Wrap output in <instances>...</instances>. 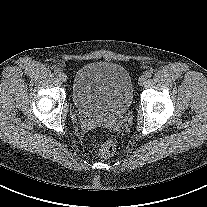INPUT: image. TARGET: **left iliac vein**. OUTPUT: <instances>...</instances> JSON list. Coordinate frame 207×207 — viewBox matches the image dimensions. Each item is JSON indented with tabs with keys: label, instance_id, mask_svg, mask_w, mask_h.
<instances>
[{
	"label": "left iliac vein",
	"instance_id": "left-iliac-vein-1",
	"mask_svg": "<svg viewBox=\"0 0 207 207\" xmlns=\"http://www.w3.org/2000/svg\"><path fill=\"white\" fill-rule=\"evenodd\" d=\"M147 81V77L145 75L141 76L138 80L139 85H144Z\"/></svg>",
	"mask_w": 207,
	"mask_h": 207
}]
</instances>
